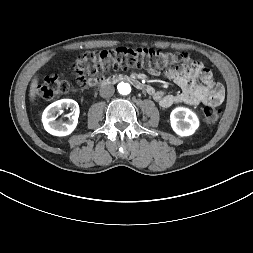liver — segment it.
Listing matches in <instances>:
<instances>
[{
  "mask_svg": "<svg viewBox=\"0 0 253 253\" xmlns=\"http://www.w3.org/2000/svg\"><path fill=\"white\" fill-rule=\"evenodd\" d=\"M37 87H38V79L34 78L32 80V83H31V86H30V93H29L31 101H34V99L36 97V94L38 92V88Z\"/></svg>",
  "mask_w": 253,
  "mask_h": 253,
  "instance_id": "1",
  "label": "liver"
}]
</instances>
